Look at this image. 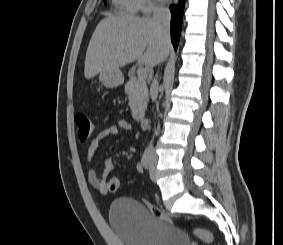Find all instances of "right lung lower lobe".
I'll list each match as a JSON object with an SVG mask.
<instances>
[{
    "label": "right lung lower lobe",
    "instance_id": "obj_1",
    "mask_svg": "<svg viewBox=\"0 0 283 245\" xmlns=\"http://www.w3.org/2000/svg\"><path fill=\"white\" fill-rule=\"evenodd\" d=\"M184 2L180 1L177 6H171V41L174 49H177L178 41L181 32V23L183 17Z\"/></svg>",
    "mask_w": 283,
    "mask_h": 245
}]
</instances>
